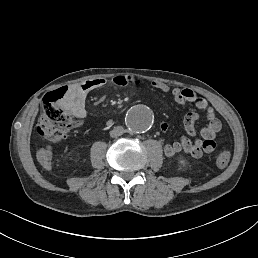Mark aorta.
I'll return each mask as SVG.
<instances>
[{"label": "aorta", "instance_id": "762f6f07", "mask_svg": "<svg viewBox=\"0 0 258 258\" xmlns=\"http://www.w3.org/2000/svg\"><path fill=\"white\" fill-rule=\"evenodd\" d=\"M126 126L131 133H143L148 130L154 121L151 110L146 106H136L126 115Z\"/></svg>", "mask_w": 258, "mask_h": 258}]
</instances>
